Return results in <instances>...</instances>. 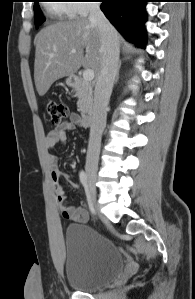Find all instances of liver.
<instances>
[{"mask_svg":"<svg viewBox=\"0 0 195 299\" xmlns=\"http://www.w3.org/2000/svg\"><path fill=\"white\" fill-rule=\"evenodd\" d=\"M34 44V80L40 96L45 95L56 80L73 75L81 66L92 69L99 76L102 64L100 31L88 18L49 25L36 35ZM72 49L76 53H71Z\"/></svg>","mask_w":195,"mask_h":299,"instance_id":"liver-1","label":"liver"}]
</instances>
